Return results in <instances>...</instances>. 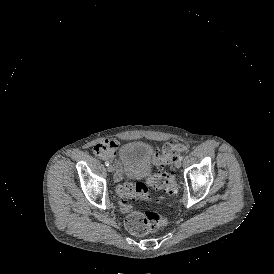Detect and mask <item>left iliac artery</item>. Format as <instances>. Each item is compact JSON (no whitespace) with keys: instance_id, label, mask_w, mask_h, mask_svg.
<instances>
[{"instance_id":"1","label":"left iliac artery","mask_w":274,"mask_h":274,"mask_svg":"<svg viewBox=\"0 0 274 274\" xmlns=\"http://www.w3.org/2000/svg\"><path fill=\"white\" fill-rule=\"evenodd\" d=\"M183 158H184V157H183L182 155L178 157V159H179L180 161H182Z\"/></svg>"}]
</instances>
